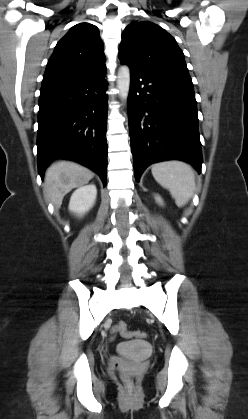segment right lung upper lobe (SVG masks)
Returning a JSON list of instances; mask_svg holds the SVG:
<instances>
[{
    "label": "right lung upper lobe",
    "mask_w": 248,
    "mask_h": 419,
    "mask_svg": "<svg viewBox=\"0 0 248 419\" xmlns=\"http://www.w3.org/2000/svg\"><path fill=\"white\" fill-rule=\"evenodd\" d=\"M103 69L105 55L98 28L89 23H80L57 43L48 61L42 86L77 81Z\"/></svg>",
    "instance_id": "obj_1"
}]
</instances>
